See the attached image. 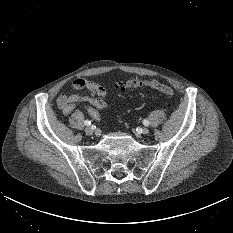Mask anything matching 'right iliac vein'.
I'll use <instances>...</instances> for the list:
<instances>
[{"label": "right iliac vein", "instance_id": "right-iliac-vein-1", "mask_svg": "<svg viewBox=\"0 0 233 233\" xmlns=\"http://www.w3.org/2000/svg\"><path fill=\"white\" fill-rule=\"evenodd\" d=\"M93 132H94V129L91 126H88V127L85 128V133L87 135H92Z\"/></svg>", "mask_w": 233, "mask_h": 233}]
</instances>
